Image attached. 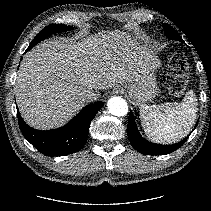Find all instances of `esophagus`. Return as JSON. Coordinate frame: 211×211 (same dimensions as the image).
<instances>
[{"label": "esophagus", "instance_id": "1", "mask_svg": "<svg viewBox=\"0 0 211 211\" xmlns=\"http://www.w3.org/2000/svg\"><path fill=\"white\" fill-rule=\"evenodd\" d=\"M123 92V89L121 86H116L114 87V89L112 90L113 94H121Z\"/></svg>", "mask_w": 211, "mask_h": 211}]
</instances>
